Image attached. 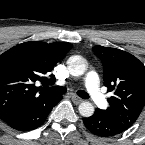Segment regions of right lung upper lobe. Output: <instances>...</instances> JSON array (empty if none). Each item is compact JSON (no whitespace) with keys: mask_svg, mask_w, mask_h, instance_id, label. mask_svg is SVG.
I'll use <instances>...</instances> for the list:
<instances>
[{"mask_svg":"<svg viewBox=\"0 0 145 145\" xmlns=\"http://www.w3.org/2000/svg\"><path fill=\"white\" fill-rule=\"evenodd\" d=\"M72 45L67 42L30 41L16 45L0 55V118L38 106L55 96L35 86L53 84L49 73Z\"/></svg>","mask_w":145,"mask_h":145,"instance_id":"right-lung-upper-lobe-1","label":"right lung upper lobe"}]
</instances>
